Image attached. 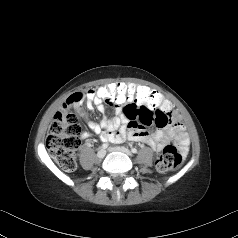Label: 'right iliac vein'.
I'll use <instances>...</instances> for the list:
<instances>
[{"label":"right iliac vein","mask_w":238,"mask_h":238,"mask_svg":"<svg viewBox=\"0 0 238 238\" xmlns=\"http://www.w3.org/2000/svg\"><path fill=\"white\" fill-rule=\"evenodd\" d=\"M105 155H106V150H104V149H100V150L97 152V157H98L99 159L104 158Z\"/></svg>","instance_id":"1"}]
</instances>
